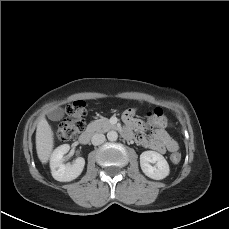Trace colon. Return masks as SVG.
Wrapping results in <instances>:
<instances>
[{"label":"colon","mask_w":229,"mask_h":229,"mask_svg":"<svg viewBox=\"0 0 229 229\" xmlns=\"http://www.w3.org/2000/svg\"><path fill=\"white\" fill-rule=\"evenodd\" d=\"M67 118L60 121L57 126L56 137L63 142L72 141L83 131L87 115L86 104L83 101H75L67 108ZM152 124V123H151ZM171 161L179 163L181 154L176 144H170Z\"/></svg>","instance_id":"obj_1"}]
</instances>
